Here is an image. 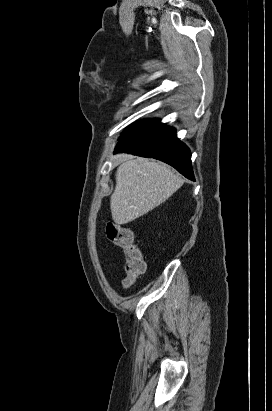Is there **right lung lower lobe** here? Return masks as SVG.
Instances as JSON below:
<instances>
[{
    "label": "right lung lower lobe",
    "mask_w": 272,
    "mask_h": 411,
    "mask_svg": "<svg viewBox=\"0 0 272 411\" xmlns=\"http://www.w3.org/2000/svg\"><path fill=\"white\" fill-rule=\"evenodd\" d=\"M161 160L179 171L186 178L195 181L191 167L189 148L176 136V130L162 123H157L134 135L120 139L116 152Z\"/></svg>",
    "instance_id": "98d812e1"
}]
</instances>
